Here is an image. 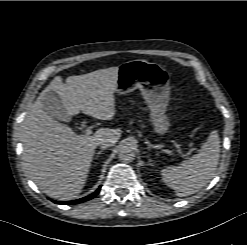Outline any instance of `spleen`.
I'll list each match as a JSON object with an SVG mask.
<instances>
[{
	"label": "spleen",
	"mask_w": 247,
	"mask_h": 245,
	"mask_svg": "<svg viewBox=\"0 0 247 245\" xmlns=\"http://www.w3.org/2000/svg\"><path fill=\"white\" fill-rule=\"evenodd\" d=\"M220 158V138L212 131L198 154L178 166L162 170V180L179 197L192 195L201 190L213 178Z\"/></svg>",
	"instance_id": "obj_1"
}]
</instances>
